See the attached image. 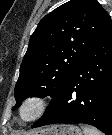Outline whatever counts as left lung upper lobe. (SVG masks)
Segmentation results:
<instances>
[{"instance_id":"left-lung-upper-lobe-1","label":"left lung upper lobe","mask_w":112,"mask_h":135,"mask_svg":"<svg viewBox=\"0 0 112 135\" xmlns=\"http://www.w3.org/2000/svg\"><path fill=\"white\" fill-rule=\"evenodd\" d=\"M111 25L95 0H70L43 17L20 67L13 110L28 97L53 98Z\"/></svg>"}]
</instances>
